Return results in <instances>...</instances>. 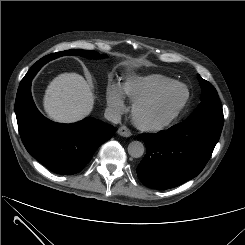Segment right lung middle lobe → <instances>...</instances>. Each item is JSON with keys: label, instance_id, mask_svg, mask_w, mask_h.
Returning <instances> with one entry per match:
<instances>
[{"label": "right lung middle lobe", "instance_id": "dd1d6c3e", "mask_svg": "<svg viewBox=\"0 0 245 245\" xmlns=\"http://www.w3.org/2000/svg\"><path fill=\"white\" fill-rule=\"evenodd\" d=\"M63 55H82V56H86V57H89V58H97L98 57V54L95 51L66 50V51L57 52V53H53V54L47 55V56L42 58V59H45L44 61H42V59H40L35 64L43 65V64L47 63L48 61H50L52 59H55L57 57L63 56Z\"/></svg>", "mask_w": 245, "mask_h": 245}]
</instances>
